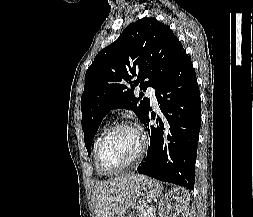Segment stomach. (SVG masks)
<instances>
[{
    "mask_svg": "<svg viewBox=\"0 0 253 217\" xmlns=\"http://www.w3.org/2000/svg\"><path fill=\"white\" fill-rule=\"evenodd\" d=\"M162 190V184L154 179L144 177L139 180L133 189L129 204L123 209L119 217H135L151 201L157 199Z\"/></svg>",
    "mask_w": 253,
    "mask_h": 217,
    "instance_id": "obj_1",
    "label": "stomach"
}]
</instances>
